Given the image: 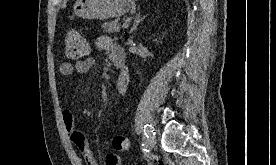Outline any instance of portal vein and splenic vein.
<instances>
[{
  "mask_svg": "<svg viewBox=\"0 0 276 165\" xmlns=\"http://www.w3.org/2000/svg\"><path fill=\"white\" fill-rule=\"evenodd\" d=\"M128 25H129V22H128V21H125V22L123 23L122 27H123V28H127Z\"/></svg>",
  "mask_w": 276,
  "mask_h": 165,
  "instance_id": "1",
  "label": "portal vein and splenic vein"
}]
</instances>
